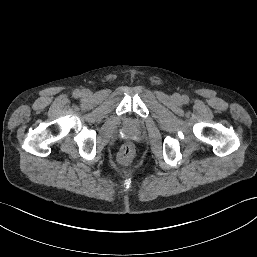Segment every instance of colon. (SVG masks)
Here are the masks:
<instances>
[{"mask_svg": "<svg viewBox=\"0 0 257 257\" xmlns=\"http://www.w3.org/2000/svg\"><path fill=\"white\" fill-rule=\"evenodd\" d=\"M134 156V149L130 144L125 145L120 154H119V161L122 164H128Z\"/></svg>", "mask_w": 257, "mask_h": 257, "instance_id": "5ec220e1", "label": "colon"}]
</instances>
